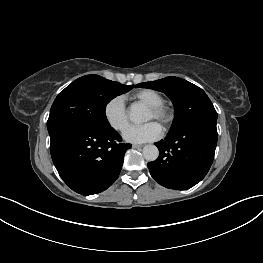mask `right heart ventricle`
<instances>
[{"label":"right heart ventricle","mask_w":263,"mask_h":263,"mask_svg":"<svg viewBox=\"0 0 263 263\" xmlns=\"http://www.w3.org/2000/svg\"><path fill=\"white\" fill-rule=\"evenodd\" d=\"M133 98L146 104L148 107L164 103L160 93L152 89H141L133 94Z\"/></svg>","instance_id":"right-heart-ventricle-1"}]
</instances>
